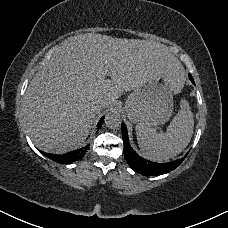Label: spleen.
I'll use <instances>...</instances> for the list:
<instances>
[{"mask_svg":"<svg viewBox=\"0 0 228 228\" xmlns=\"http://www.w3.org/2000/svg\"><path fill=\"white\" fill-rule=\"evenodd\" d=\"M180 107L165 133H158L144 123L136 125L137 141L144 158L156 162L167 161L188 146L193 134L194 115L187 100L182 99Z\"/></svg>","mask_w":228,"mask_h":228,"instance_id":"spleen-1","label":"spleen"}]
</instances>
